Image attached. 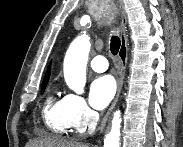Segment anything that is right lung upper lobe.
<instances>
[{
  "label": "right lung upper lobe",
  "instance_id": "1",
  "mask_svg": "<svg viewBox=\"0 0 183 147\" xmlns=\"http://www.w3.org/2000/svg\"><path fill=\"white\" fill-rule=\"evenodd\" d=\"M49 77H50V67L48 68V70L46 72L45 78L43 80V84H47L48 83Z\"/></svg>",
  "mask_w": 183,
  "mask_h": 147
}]
</instances>
